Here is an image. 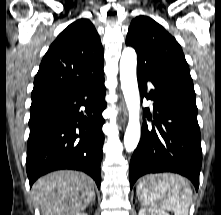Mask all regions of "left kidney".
<instances>
[{
  "instance_id": "1",
  "label": "left kidney",
  "mask_w": 221,
  "mask_h": 215,
  "mask_svg": "<svg viewBox=\"0 0 221 215\" xmlns=\"http://www.w3.org/2000/svg\"><path fill=\"white\" fill-rule=\"evenodd\" d=\"M138 215H169V213L159 209L142 208Z\"/></svg>"
}]
</instances>
